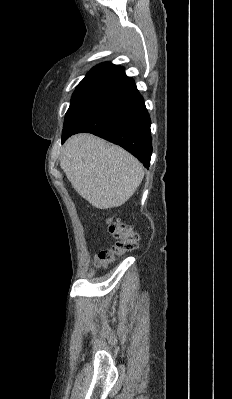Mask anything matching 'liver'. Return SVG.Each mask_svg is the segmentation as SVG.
Returning <instances> with one entry per match:
<instances>
[{
	"label": "liver",
	"instance_id": "6515ba94",
	"mask_svg": "<svg viewBox=\"0 0 232 399\" xmlns=\"http://www.w3.org/2000/svg\"><path fill=\"white\" fill-rule=\"evenodd\" d=\"M60 166L74 190L99 209L125 203L144 178L142 164L134 156L92 134L69 138Z\"/></svg>",
	"mask_w": 232,
	"mask_h": 399
}]
</instances>
